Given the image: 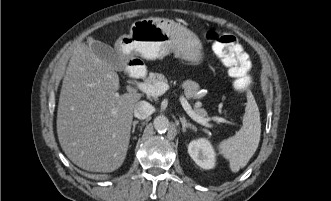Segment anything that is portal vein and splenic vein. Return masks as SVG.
I'll return each mask as SVG.
<instances>
[{
  "label": "portal vein and splenic vein",
  "instance_id": "18ae733b",
  "mask_svg": "<svg viewBox=\"0 0 331 201\" xmlns=\"http://www.w3.org/2000/svg\"><path fill=\"white\" fill-rule=\"evenodd\" d=\"M137 88L147 95L157 97V96L163 95L167 90H169V85L164 82H157L153 85L148 84V83L138 82ZM179 99H180L181 105L184 108V110L194 121H196L197 123H199L205 127H212V125L208 123L209 119L203 118L195 113V111L192 109V107L188 103L187 99L183 95H181ZM216 120H218L220 122L224 121V119H222V118H216Z\"/></svg>",
  "mask_w": 331,
  "mask_h": 201
}]
</instances>
